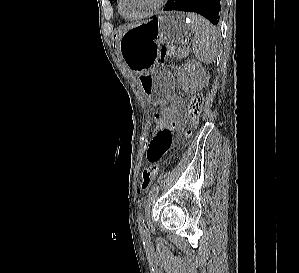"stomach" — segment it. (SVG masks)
<instances>
[{"mask_svg":"<svg viewBox=\"0 0 299 273\" xmlns=\"http://www.w3.org/2000/svg\"><path fill=\"white\" fill-rule=\"evenodd\" d=\"M185 14L168 12L156 15L142 25L126 31L119 41V53L125 64L137 72V81L146 101H169L172 77L159 69L163 44L174 43L188 34Z\"/></svg>","mask_w":299,"mask_h":273,"instance_id":"obj_1","label":"stomach"}]
</instances>
